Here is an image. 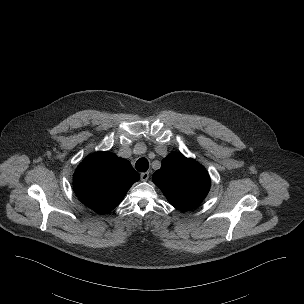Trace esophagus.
Returning a JSON list of instances; mask_svg holds the SVG:
<instances>
[{"mask_svg": "<svg viewBox=\"0 0 304 304\" xmlns=\"http://www.w3.org/2000/svg\"><path fill=\"white\" fill-rule=\"evenodd\" d=\"M140 177L142 181H147L149 178V173L148 172L141 173Z\"/></svg>", "mask_w": 304, "mask_h": 304, "instance_id": "obj_1", "label": "esophagus"}]
</instances>
